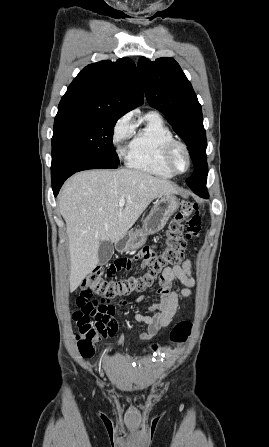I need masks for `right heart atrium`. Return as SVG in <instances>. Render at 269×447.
Wrapping results in <instances>:
<instances>
[{
  "label": "right heart atrium",
  "instance_id": "1",
  "mask_svg": "<svg viewBox=\"0 0 269 447\" xmlns=\"http://www.w3.org/2000/svg\"><path fill=\"white\" fill-rule=\"evenodd\" d=\"M134 128L135 124L130 113L123 114L115 121L111 133V142L119 156L124 154Z\"/></svg>",
  "mask_w": 269,
  "mask_h": 447
}]
</instances>
